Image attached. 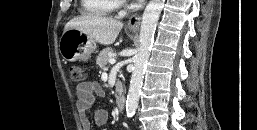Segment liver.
Returning <instances> with one entry per match:
<instances>
[{
    "mask_svg": "<svg viewBox=\"0 0 257 130\" xmlns=\"http://www.w3.org/2000/svg\"><path fill=\"white\" fill-rule=\"evenodd\" d=\"M122 28L123 23L118 20L88 14L70 20L64 31L77 29L102 45H110L115 42Z\"/></svg>",
    "mask_w": 257,
    "mask_h": 130,
    "instance_id": "1",
    "label": "liver"
}]
</instances>
